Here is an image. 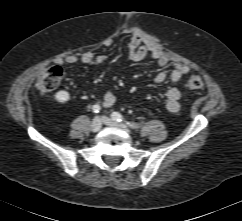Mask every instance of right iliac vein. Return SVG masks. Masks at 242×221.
<instances>
[{
    "instance_id": "right-iliac-vein-1",
    "label": "right iliac vein",
    "mask_w": 242,
    "mask_h": 221,
    "mask_svg": "<svg viewBox=\"0 0 242 221\" xmlns=\"http://www.w3.org/2000/svg\"><path fill=\"white\" fill-rule=\"evenodd\" d=\"M101 127H102L101 119L99 117H95L91 123V131L96 133L100 131Z\"/></svg>"
}]
</instances>
